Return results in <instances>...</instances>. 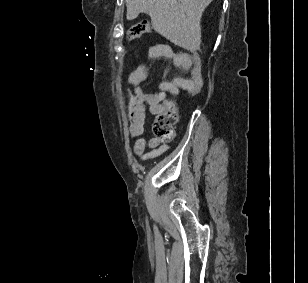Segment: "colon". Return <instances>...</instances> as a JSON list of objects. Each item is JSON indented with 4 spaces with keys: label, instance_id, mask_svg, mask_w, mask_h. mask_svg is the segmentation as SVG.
Returning <instances> with one entry per match:
<instances>
[{
    "label": "colon",
    "instance_id": "obj_1",
    "mask_svg": "<svg viewBox=\"0 0 308 283\" xmlns=\"http://www.w3.org/2000/svg\"><path fill=\"white\" fill-rule=\"evenodd\" d=\"M151 25L148 21H141L131 26L126 34L128 40H133L141 34L149 31ZM192 65L190 70V85L186 90L191 96L196 95L203 85V67L200 54L196 50L191 51ZM177 119V105L173 100H166L162 104V110L156 115L151 131L155 138L162 141H170L174 138L173 126Z\"/></svg>",
    "mask_w": 308,
    "mask_h": 283
}]
</instances>
